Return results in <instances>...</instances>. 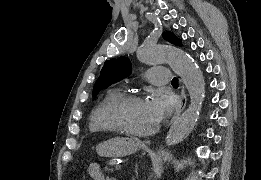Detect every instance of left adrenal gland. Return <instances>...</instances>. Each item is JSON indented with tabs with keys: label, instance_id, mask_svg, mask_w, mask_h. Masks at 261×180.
<instances>
[{
	"label": "left adrenal gland",
	"instance_id": "a2214340",
	"mask_svg": "<svg viewBox=\"0 0 261 180\" xmlns=\"http://www.w3.org/2000/svg\"><path fill=\"white\" fill-rule=\"evenodd\" d=\"M135 176H136V178L138 180V166H137V164L135 166Z\"/></svg>",
	"mask_w": 261,
	"mask_h": 180
}]
</instances>
